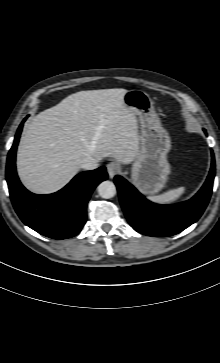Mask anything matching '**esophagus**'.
<instances>
[{"label": "esophagus", "instance_id": "esophagus-1", "mask_svg": "<svg viewBox=\"0 0 220 363\" xmlns=\"http://www.w3.org/2000/svg\"><path fill=\"white\" fill-rule=\"evenodd\" d=\"M120 170V166L116 162H110L107 164V172L110 178H113Z\"/></svg>", "mask_w": 220, "mask_h": 363}]
</instances>
